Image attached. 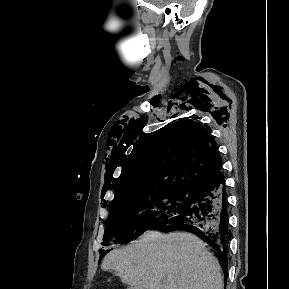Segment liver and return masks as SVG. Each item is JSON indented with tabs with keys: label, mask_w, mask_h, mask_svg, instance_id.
<instances>
[{
	"label": "liver",
	"mask_w": 289,
	"mask_h": 289,
	"mask_svg": "<svg viewBox=\"0 0 289 289\" xmlns=\"http://www.w3.org/2000/svg\"><path fill=\"white\" fill-rule=\"evenodd\" d=\"M114 270L129 289H223L217 259L195 235L185 232H145L102 263Z\"/></svg>",
	"instance_id": "6515ba94"
}]
</instances>
